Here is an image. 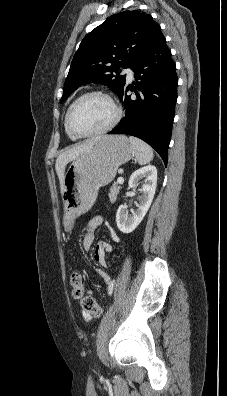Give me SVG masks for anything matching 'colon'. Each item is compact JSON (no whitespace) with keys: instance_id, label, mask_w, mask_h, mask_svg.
<instances>
[{"instance_id":"colon-1","label":"colon","mask_w":227,"mask_h":396,"mask_svg":"<svg viewBox=\"0 0 227 396\" xmlns=\"http://www.w3.org/2000/svg\"><path fill=\"white\" fill-rule=\"evenodd\" d=\"M70 284L72 286V295L79 300L82 310L93 316H100L103 311L102 307L93 297L85 295L84 280L79 272L71 273Z\"/></svg>"}]
</instances>
